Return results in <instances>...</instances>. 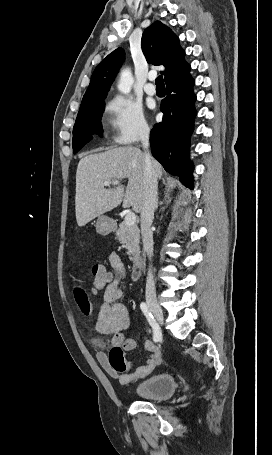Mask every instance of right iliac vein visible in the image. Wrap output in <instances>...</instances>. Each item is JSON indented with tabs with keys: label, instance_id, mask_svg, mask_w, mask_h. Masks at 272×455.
I'll return each instance as SVG.
<instances>
[{
	"label": "right iliac vein",
	"instance_id": "right-iliac-vein-1",
	"mask_svg": "<svg viewBox=\"0 0 272 455\" xmlns=\"http://www.w3.org/2000/svg\"><path fill=\"white\" fill-rule=\"evenodd\" d=\"M147 305L150 309V311L153 313L155 319L157 320V322L160 324V325H163L164 323V316H163V312L159 306V304L157 303V301L153 298H149L147 299Z\"/></svg>",
	"mask_w": 272,
	"mask_h": 455
}]
</instances>
